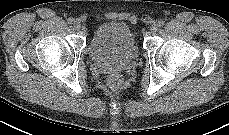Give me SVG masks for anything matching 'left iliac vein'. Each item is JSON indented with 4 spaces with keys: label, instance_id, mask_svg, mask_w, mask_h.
<instances>
[{
    "label": "left iliac vein",
    "instance_id": "1",
    "mask_svg": "<svg viewBox=\"0 0 229 135\" xmlns=\"http://www.w3.org/2000/svg\"><path fill=\"white\" fill-rule=\"evenodd\" d=\"M158 29H159V25H158L157 23H153V24L151 25V27H150V31H151L152 33L157 32Z\"/></svg>",
    "mask_w": 229,
    "mask_h": 135
}]
</instances>
